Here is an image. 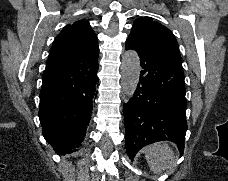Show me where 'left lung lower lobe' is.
<instances>
[{
  "label": "left lung lower lobe",
  "mask_w": 228,
  "mask_h": 181,
  "mask_svg": "<svg viewBox=\"0 0 228 181\" xmlns=\"http://www.w3.org/2000/svg\"><path fill=\"white\" fill-rule=\"evenodd\" d=\"M125 47L138 53L142 68L137 89L123 106L129 157L133 159L142 147L162 140L177 144L182 155L187 130L182 60L128 39Z\"/></svg>",
  "instance_id": "0a47b994"
}]
</instances>
